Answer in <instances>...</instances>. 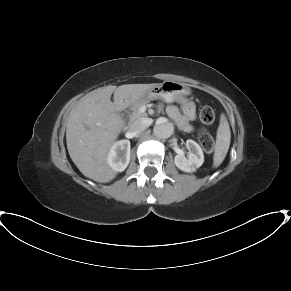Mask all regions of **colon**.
Segmentation results:
<instances>
[{"mask_svg":"<svg viewBox=\"0 0 291 291\" xmlns=\"http://www.w3.org/2000/svg\"><path fill=\"white\" fill-rule=\"evenodd\" d=\"M199 118L204 124L210 125L215 121V112L211 107H203L200 111ZM197 139L206 152H211L213 150V138L208 131L200 130L197 134Z\"/></svg>","mask_w":291,"mask_h":291,"instance_id":"1","label":"colon"}]
</instances>
